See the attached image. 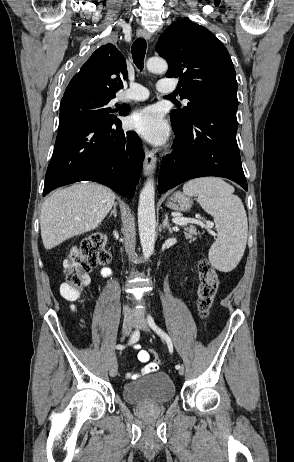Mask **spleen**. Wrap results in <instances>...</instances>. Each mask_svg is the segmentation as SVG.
I'll list each match as a JSON object with an SVG mask.
<instances>
[{"instance_id":"1","label":"spleen","mask_w":294,"mask_h":462,"mask_svg":"<svg viewBox=\"0 0 294 462\" xmlns=\"http://www.w3.org/2000/svg\"><path fill=\"white\" fill-rule=\"evenodd\" d=\"M188 196H197L201 207L214 218L218 237L209 250V261L219 271L229 272L240 262L247 242L248 222L241 199L234 187L217 177L188 181Z\"/></svg>"}]
</instances>
